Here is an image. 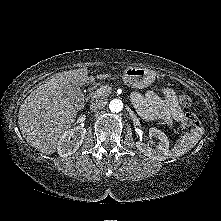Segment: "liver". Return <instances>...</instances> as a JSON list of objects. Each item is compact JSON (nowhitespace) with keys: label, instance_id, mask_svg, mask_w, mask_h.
I'll list each match as a JSON object with an SVG mask.
<instances>
[{"label":"liver","instance_id":"6515ba94","mask_svg":"<svg viewBox=\"0 0 221 221\" xmlns=\"http://www.w3.org/2000/svg\"><path fill=\"white\" fill-rule=\"evenodd\" d=\"M108 74L97 75L98 79ZM91 79L87 68L65 71L39 85L21 104L18 124L24 139L37 151L52 154L58 139L75 121L77 109L65 96L68 85L83 86Z\"/></svg>","mask_w":221,"mask_h":221}]
</instances>
